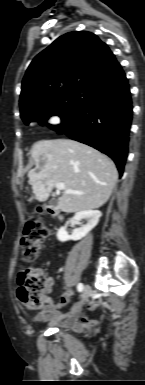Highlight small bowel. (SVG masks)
Segmentation results:
<instances>
[{
  "instance_id": "small-bowel-1",
  "label": "small bowel",
  "mask_w": 145,
  "mask_h": 385,
  "mask_svg": "<svg viewBox=\"0 0 145 385\" xmlns=\"http://www.w3.org/2000/svg\"><path fill=\"white\" fill-rule=\"evenodd\" d=\"M46 278L48 281V289L44 296V306L41 311L35 315L34 319L37 321L59 322L63 318L61 308L69 303L73 296V291H65L61 297L55 301L49 296L54 285V280L52 277ZM98 305L99 302L97 300H93L89 303L82 302L81 300L76 302L72 307L70 315L64 321V326L73 332L94 330L102 321L99 319L88 318L86 312L95 309Z\"/></svg>"
}]
</instances>
